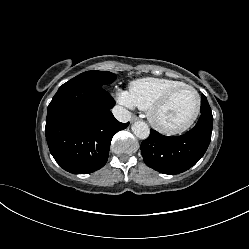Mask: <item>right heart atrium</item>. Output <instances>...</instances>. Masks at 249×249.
<instances>
[{"mask_svg":"<svg viewBox=\"0 0 249 249\" xmlns=\"http://www.w3.org/2000/svg\"><path fill=\"white\" fill-rule=\"evenodd\" d=\"M116 97L118 102L123 104L126 107L132 108L134 106V103L130 97L129 92L124 91L122 89H118L116 92Z\"/></svg>","mask_w":249,"mask_h":249,"instance_id":"1","label":"right heart atrium"}]
</instances>
